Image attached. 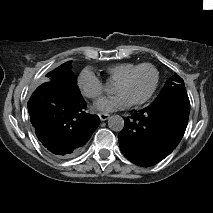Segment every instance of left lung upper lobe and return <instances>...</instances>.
Returning a JSON list of instances; mask_svg holds the SVG:
<instances>
[{
  "label": "left lung upper lobe",
  "instance_id": "5c2ea615",
  "mask_svg": "<svg viewBox=\"0 0 213 213\" xmlns=\"http://www.w3.org/2000/svg\"><path fill=\"white\" fill-rule=\"evenodd\" d=\"M167 100L179 101L186 107L190 108V102L184 81L177 74L166 81L161 93L151 105H157Z\"/></svg>",
  "mask_w": 213,
  "mask_h": 213
}]
</instances>
